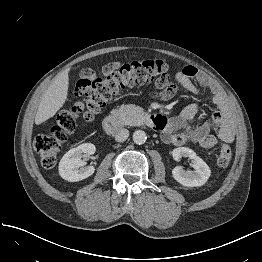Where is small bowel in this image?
Segmentation results:
<instances>
[{
  "instance_id": "1",
  "label": "small bowel",
  "mask_w": 262,
  "mask_h": 262,
  "mask_svg": "<svg viewBox=\"0 0 262 262\" xmlns=\"http://www.w3.org/2000/svg\"><path fill=\"white\" fill-rule=\"evenodd\" d=\"M177 84L188 89L195 96L200 95L199 89L195 86L194 80L201 83L211 93V101L216 106V111L212 114L211 120L218 125L219 130L216 135L210 134V124L203 123L197 128H193V120L199 108L196 104L186 106L183 111L167 127L161 129V138L165 143L175 146L183 145L186 142H193L201 147L212 149L218 139L225 142H232L234 139V129L231 121V113L226 96L217 89L216 85L209 78L201 73L194 66H186L175 75ZM177 84L171 83L167 88L156 92L161 100L170 99L177 92ZM164 121L159 125H163Z\"/></svg>"
}]
</instances>
